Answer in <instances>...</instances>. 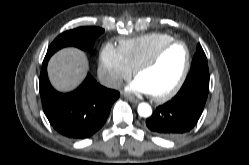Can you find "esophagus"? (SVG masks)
<instances>
[{
    "label": "esophagus",
    "instance_id": "obj_1",
    "mask_svg": "<svg viewBox=\"0 0 249 165\" xmlns=\"http://www.w3.org/2000/svg\"><path fill=\"white\" fill-rule=\"evenodd\" d=\"M124 96H125V98H127L131 103L137 104V103L139 102L136 98H134V97H132V96H130V95L125 94Z\"/></svg>",
    "mask_w": 249,
    "mask_h": 165
}]
</instances>
